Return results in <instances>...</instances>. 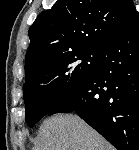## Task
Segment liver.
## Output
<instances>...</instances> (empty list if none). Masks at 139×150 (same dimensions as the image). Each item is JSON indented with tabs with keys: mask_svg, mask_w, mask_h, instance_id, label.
Instances as JSON below:
<instances>
[{
	"mask_svg": "<svg viewBox=\"0 0 139 150\" xmlns=\"http://www.w3.org/2000/svg\"><path fill=\"white\" fill-rule=\"evenodd\" d=\"M34 150H113V147L78 116L58 114L43 122Z\"/></svg>",
	"mask_w": 139,
	"mask_h": 150,
	"instance_id": "obj_1",
	"label": "liver"
}]
</instances>
